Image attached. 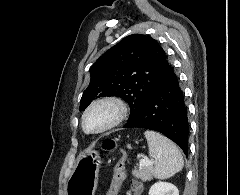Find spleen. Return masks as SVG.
I'll use <instances>...</instances> for the list:
<instances>
[{"label":"spleen","instance_id":"obj_1","mask_svg":"<svg viewBox=\"0 0 240 195\" xmlns=\"http://www.w3.org/2000/svg\"><path fill=\"white\" fill-rule=\"evenodd\" d=\"M144 135L148 141L149 155L155 159L154 177L166 179L182 169L184 159L174 141L161 135V133H157V131H152V129H146Z\"/></svg>","mask_w":240,"mask_h":195}]
</instances>
